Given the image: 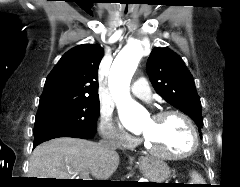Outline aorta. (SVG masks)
<instances>
[{
	"mask_svg": "<svg viewBox=\"0 0 240 187\" xmlns=\"http://www.w3.org/2000/svg\"><path fill=\"white\" fill-rule=\"evenodd\" d=\"M143 50L138 41L128 43L117 55L109 73V89L120 113H129L138 120L144 109L130 96V82L142 57Z\"/></svg>",
	"mask_w": 240,
	"mask_h": 187,
	"instance_id": "obj_1",
	"label": "aorta"
}]
</instances>
